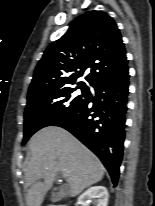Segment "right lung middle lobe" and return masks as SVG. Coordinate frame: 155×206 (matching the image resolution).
Segmentation results:
<instances>
[{
	"label": "right lung middle lobe",
	"mask_w": 155,
	"mask_h": 206,
	"mask_svg": "<svg viewBox=\"0 0 155 206\" xmlns=\"http://www.w3.org/2000/svg\"><path fill=\"white\" fill-rule=\"evenodd\" d=\"M81 95H75L77 89ZM91 98L85 85L76 88L59 86L28 96L24 114V139L22 145L39 129L51 126L69 116Z\"/></svg>",
	"instance_id": "right-lung-middle-lobe-1"
}]
</instances>
